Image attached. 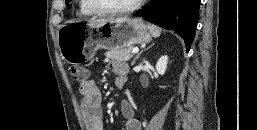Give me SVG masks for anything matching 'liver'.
Returning <instances> with one entry per match:
<instances>
[{"label": "liver", "instance_id": "liver-1", "mask_svg": "<svg viewBox=\"0 0 257 130\" xmlns=\"http://www.w3.org/2000/svg\"><path fill=\"white\" fill-rule=\"evenodd\" d=\"M104 21H105V19H99V20H92V21H90V23L94 24V23H101Z\"/></svg>", "mask_w": 257, "mask_h": 130}]
</instances>
